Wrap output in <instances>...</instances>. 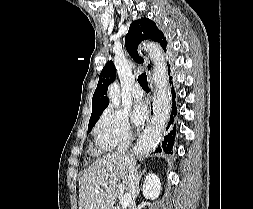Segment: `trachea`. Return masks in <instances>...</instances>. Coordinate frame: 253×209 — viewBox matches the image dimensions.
Returning a JSON list of instances; mask_svg holds the SVG:
<instances>
[{"label": "trachea", "mask_w": 253, "mask_h": 209, "mask_svg": "<svg viewBox=\"0 0 253 209\" xmlns=\"http://www.w3.org/2000/svg\"><path fill=\"white\" fill-rule=\"evenodd\" d=\"M138 83L144 90H149L147 75L145 73H142L141 75L138 76Z\"/></svg>", "instance_id": "3493384b"}]
</instances>
